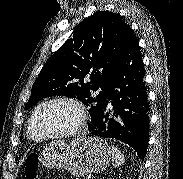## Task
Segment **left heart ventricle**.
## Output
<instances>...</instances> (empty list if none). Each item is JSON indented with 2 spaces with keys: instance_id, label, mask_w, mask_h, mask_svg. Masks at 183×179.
I'll return each instance as SVG.
<instances>
[{
  "instance_id": "obj_1",
  "label": "left heart ventricle",
  "mask_w": 183,
  "mask_h": 179,
  "mask_svg": "<svg viewBox=\"0 0 183 179\" xmlns=\"http://www.w3.org/2000/svg\"><path fill=\"white\" fill-rule=\"evenodd\" d=\"M78 119V111L73 105L64 102L54 103L45 111L42 127L50 134L62 133L72 129Z\"/></svg>"
}]
</instances>
